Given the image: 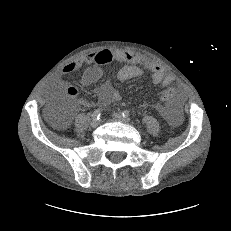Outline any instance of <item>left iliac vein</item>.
Masks as SVG:
<instances>
[{"label": "left iliac vein", "mask_w": 231, "mask_h": 231, "mask_svg": "<svg viewBox=\"0 0 231 231\" xmlns=\"http://www.w3.org/2000/svg\"><path fill=\"white\" fill-rule=\"evenodd\" d=\"M113 116H114L115 120H117V121H120L122 123H128V121L126 119H124L120 113L115 112L113 114Z\"/></svg>", "instance_id": "obj_1"}]
</instances>
